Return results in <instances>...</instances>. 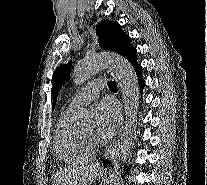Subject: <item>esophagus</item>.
<instances>
[{
	"instance_id": "1",
	"label": "esophagus",
	"mask_w": 207,
	"mask_h": 185,
	"mask_svg": "<svg viewBox=\"0 0 207 185\" xmlns=\"http://www.w3.org/2000/svg\"><path fill=\"white\" fill-rule=\"evenodd\" d=\"M106 72L114 77L113 67H106ZM118 119L119 120H118L117 127L125 128L126 123H127V120L125 119V114H118ZM114 152H115V144H113V146L109 150L106 156V160H101L100 168L102 170V173H107V170L109 168V165H108L109 157H114Z\"/></svg>"
}]
</instances>
